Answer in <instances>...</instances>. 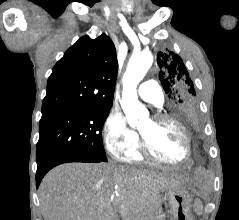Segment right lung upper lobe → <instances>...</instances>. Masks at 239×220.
<instances>
[{
  "mask_svg": "<svg viewBox=\"0 0 239 220\" xmlns=\"http://www.w3.org/2000/svg\"><path fill=\"white\" fill-rule=\"evenodd\" d=\"M117 69L116 49L106 34L80 38L54 66L42 113L111 108Z\"/></svg>",
  "mask_w": 239,
  "mask_h": 220,
  "instance_id": "cb5924a9",
  "label": "right lung upper lobe"
}]
</instances>
